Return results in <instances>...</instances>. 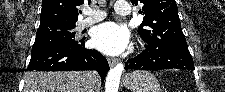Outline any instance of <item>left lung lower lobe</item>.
<instances>
[{"label":"left lung lower lobe","instance_id":"left-lung-lower-lobe-1","mask_svg":"<svg viewBox=\"0 0 225 92\" xmlns=\"http://www.w3.org/2000/svg\"><path fill=\"white\" fill-rule=\"evenodd\" d=\"M169 68L194 70V63L187 47L147 44L146 49L140 55L129 59L125 64V69L161 70Z\"/></svg>","mask_w":225,"mask_h":92}]
</instances>
